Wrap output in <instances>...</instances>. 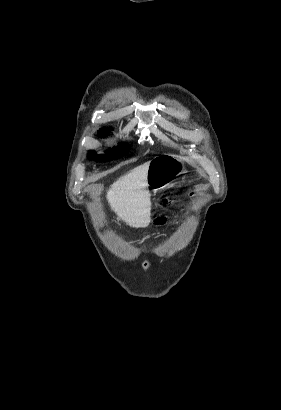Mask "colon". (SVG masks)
<instances>
[{"instance_id":"1","label":"colon","mask_w":281,"mask_h":410,"mask_svg":"<svg viewBox=\"0 0 281 410\" xmlns=\"http://www.w3.org/2000/svg\"><path fill=\"white\" fill-rule=\"evenodd\" d=\"M164 201L167 203V202H168V199H164ZM156 222H157L158 224L163 225V224L166 223V219L163 218V217H161V218H158Z\"/></svg>"}]
</instances>
